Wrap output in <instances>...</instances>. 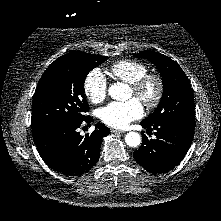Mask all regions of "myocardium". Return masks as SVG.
Wrapping results in <instances>:
<instances>
[{
  "instance_id": "1",
  "label": "myocardium",
  "mask_w": 221,
  "mask_h": 221,
  "mask_svg": "<svg viewBox=\"0 0 221 221\" xmlns=\"http://www.w3.org/2000/svg\"><path fill=\"white\" fill-rule=\"evenodd\" d=\"M154 85V94L152 97H145V90L148 85ZM134 96H136L147 108H155L160 103L164 93V82L157 73H146L136 81L130 84Z\"/></svg>"
}]
</instances>
